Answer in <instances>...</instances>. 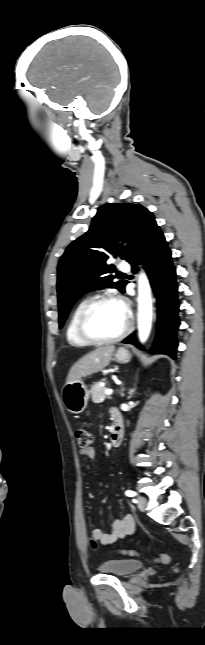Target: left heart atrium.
I'll use <instances>...</instances> for the list:
<instances>
[{"instance_id":"obj_1","label":"left heart atrium","mask_w":205,"mask_h":645,"mask_svg":"<svg viewBox=\"0 0 205 645\" xmlns=\"http://www.w3.org/2000/svg\"><path fill=\"white\" fill-rule=\"evenodd\" d=\"M117 304H118V305H119V307L122 309V311H123L125 314H127V305H126V303H125L123 300L118 299V300H117Z\"/></svg>"}]
</instances>
